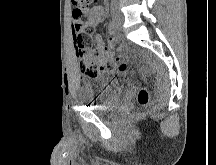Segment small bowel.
Listing matches in <instances>:
<instances>
[{
	"label": "small bowel",
	"mask_w": 216,
	"mask_h": 165,
	"mask_svg": "<svg viewBox=\"0 0 216 165\" xmlns=\"http://www.w3.org/2000/svg\"><path fill=\"white\" fill-rule=\"evenodd\" d=\"M104 10L100 7H92L87 12L85 23L81 20V8H74L72 13L71 34L73 39L82 31L84 27H96L102 23L104 18ZM94 48L99 52H105L106 48L99 35L94 36ZM88 94V91H87ZM89 95V94H88Z\"/></svg>",
	"instance_id": "obj_1"
}]
</instances>
